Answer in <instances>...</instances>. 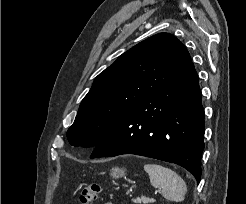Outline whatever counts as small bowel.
I'll use <instances>...</instances> for the list:
<instances>
[{
    "mask_svg": "<svg viewBox=\"0 0 246 204\" xmlns=\"http://www.w3.org/2000/svg\"><path fill=\"white\" fill-rule=\"evenodd\" d=\"M105 204H113V203L108 202V203H105Z\"/></svg>",
    "mask_w": 246,
    "mask_h": 204,
    "instance_id": "obj_1",
    "label": "small bowel"
}]
</instances>
